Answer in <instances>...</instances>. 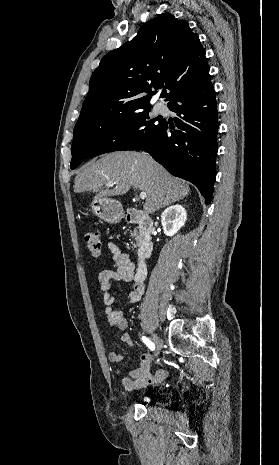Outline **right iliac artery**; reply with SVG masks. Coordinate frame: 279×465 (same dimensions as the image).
Returning <instances> with one entry per match:
<instances>
[{"label":"right iliac artery","instance_id":"82829eb1","mask_svg":"<svg viewBox=\"0 0 279 465\" xmlns=\"http://www.w3.org/2000/svg\"><path fill=\"white\" fill-rule=\"evenodd\" d=\"M142 340L143 342L150 348V350H154L155 349V345L154 343L147 337H142Z\"/></svg>","mask_w":279,"mask_h":465}]
</instances>
